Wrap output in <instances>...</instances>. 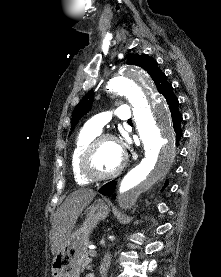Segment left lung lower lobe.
I'll list each match as a JSON object with an SVG mask.
<instances>
[{"mask_svg": "<svg viewBox=\"0 0 221 277\" xmlns=\"http://www.w3.org/2000/svg\"><path fill=\"white\" fill-rule=\"evenodd\" d=\"M164 97L169 105L170 111H171V115H172V120H173V126H174V130L175 133L177 135V143L179 142V139L182 136V130L180 128V124L182 121V115L180 114L179 110H178V99L177 97L174 95L173 93V87L170 85L164 92ZM116 185L115 181L109 182L107 184H105L99 191L103 194V195H107L110 192H113V188Z\"/></svg>", "mask_w": 221, "mask_h": 277, "instance_id": "0a47b994", "label": "left lung lower lobe"}]
</instances>
